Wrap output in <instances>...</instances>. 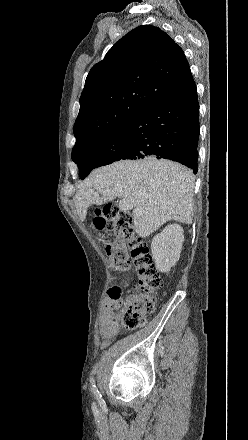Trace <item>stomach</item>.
I'll use <instances>...</instances> for the list:
<instances>
[{"instance_id": "1", "label": "stomach", "mask_w": 248, "mask_h": 440, "mask_svg": "<svg viewBox=\"0 0 248 440\" xmlns=\"http://www.w3.org/2000/svg\"><path fill=\"white\" fill-rule=\"evenodd\" d=\"M93 225L96 232H103L105 230L104 220L102 218H95Z\"/></svg>"}]
</instances>
